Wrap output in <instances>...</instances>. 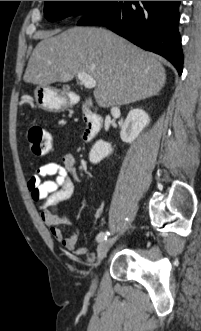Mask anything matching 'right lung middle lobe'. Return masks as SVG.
Wrapping results in <instances>:
<instances>
[{
  "mask_svg": "<svg viewBox=\"0 0 201 331\" xmlns=\"http://www.w3.org/2000/svg\"><path fill=\"white\" fill-rule=\"evenodd\" d=\"M102 1H45L44 15L49 21L83 16Z\"/></svg>",
  "mask_w": 201,
  "mask_h": 331,
  "instance_id": "obj_1",
  "label": "right lung middle lobe"
}]
</instances>
